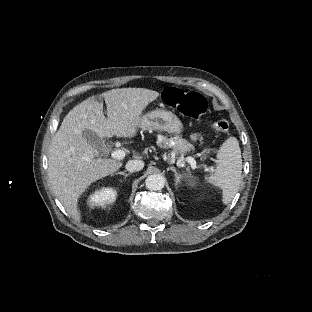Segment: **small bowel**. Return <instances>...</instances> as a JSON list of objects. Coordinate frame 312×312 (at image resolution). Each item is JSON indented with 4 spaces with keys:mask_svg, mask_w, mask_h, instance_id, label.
Returning <instances> with one entry per match:
<instances>
[{
    "mask_svg": "<svg viewBox=\"0 0 312 312\" xmlns=\"http://www.w3.org/2000/svg\"><path fill=\"white\" fill-rule=\"evenodd\" d=\"M200 137H201V133L200 132H195L191 136L192 140H194V141H197Z\"/></svg>",
    "mask_w": 312,
    "mask_h": 312,
    "instance_id": "c3829d8e",
    "label": "small bowel"
}]
</instances>
